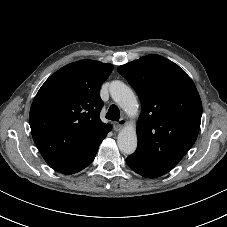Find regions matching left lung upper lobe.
Instances as JSON below:
<instances>
[{"mask_svg": "<svg viewBox=\"0 0 227 227\" xmlns=\"http://www.w3.org/2000/svg\"><path fill=\"white\" fill-rule=\"evenodd\" d=\"M137 92L142 110L134 156L173 168L195 143L202 103L192 79L175 63L148 55L118 67Z\"/></svg>", "mask_w": 227, "mask_h": 227, "instance_id": "obj_1", "label": "left lung upper lobe"}]
</instances>
